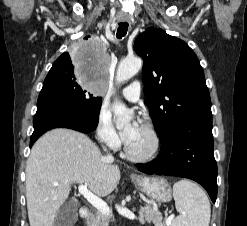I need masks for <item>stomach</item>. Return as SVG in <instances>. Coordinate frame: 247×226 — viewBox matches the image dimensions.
<instances>
[{
    "instance_id": "stomach-1",
    "label": "stomach",
    "mask_w": 247,
    "mask_h": 226,
    "mask_svg": "<svg viewBox=\"0 0 247 226\" xmlns=\"http://www.w3.org/2000/svg\"><path fill=\"white\" fill-rule=\"evenodd\" d=\"M135 186L151 199L158 202L171 200V188L164 178L132 176Z\"/></svg>"
}]
</instances>
